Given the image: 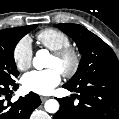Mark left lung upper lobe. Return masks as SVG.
Instances as JSON below:
<instances>
[{"label": "left lung upper lobe", "instance_id": "obj_1", "mask_svg": "<svg viewBox=\"0 0 119 119\" xmlns=\"http://www.w3.org/2000/svg\"><path fill=\"white\" fill-rule=\"evenodd\" d=\"M57 28L69 35L82 54L75 75L66 83L77 86L101 77H119V61L102 39L78 24H57Z\"/></svg>", "mask_w": 119, "mask_h": 119}]
</instances>
